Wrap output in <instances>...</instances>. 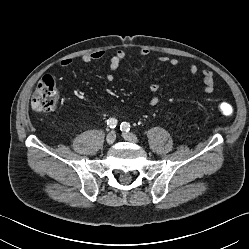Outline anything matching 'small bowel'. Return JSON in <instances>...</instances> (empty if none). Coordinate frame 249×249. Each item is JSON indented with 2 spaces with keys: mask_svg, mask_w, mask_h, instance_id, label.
Returning a JSON list of instances; mask_svg holds the SVG:
<instances>
[{
  "mask_svg": "<svg viewBox=\"0 0 249 249\" xmlns=\"http://www.w3.org/2000/svg\"><path fill=\"white\" fill-rule=\"evenodd\" d=\"M139 55L143 58L149 56V51L146 49H142L139 53ZM105 57V52L104 51H95L89 54H85L82 57V62L83 63H90L92 61H97ZM127 58V54L123 50H116L114 51L109 58V74L107 75V80L108 81H113L114 80V72H116L121 64L125 61ZM158 60L161 63H166L171 66H177L179 64V59L176 57H168V56H159ZM73 64V60L70 58H66L61 60L60 65L62 67H69ZM188 70L191 75L195 76L198 74V66L194 63L189 64ZM201 78L203 81V90L205 93L210 94L214 91V74L211 70L205 69L201 72ZM159 85L157 83H152L149 87L150 90V100H149V105L150 107H155L159 104L160 102V96H159Z\"/></svg>",
  "mask_w": 249,
  "mask_h": 249,
  "instance_id": "c3829d8e",
  "label": "small bowel"
}]
</instances>
